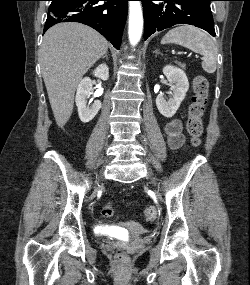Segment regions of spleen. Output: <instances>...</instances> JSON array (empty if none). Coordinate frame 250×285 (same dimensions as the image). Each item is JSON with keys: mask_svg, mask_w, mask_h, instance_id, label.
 <instances>
[{"mask_svg": "<svg viewBox=\"0 0 250 285\" xmlns=\"http://www.w3.org/2000/svg\"><path fill=\"white\" fill-rule=\"evenodd\" d=\"M162 44H178L203 56L201 63L205 72L216 71L217 47L212 38L204 31L193 26H179L169 30L161 40Z\"/></svg>", "mask_w": 250, "mask_h": 285, "instance_id": "obj_1", "label": "spleen"}]
</instances>
